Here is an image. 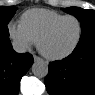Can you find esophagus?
Returning a JSON list of instances; mask_svg holds the SVG:
<instances>
[{"instance_id":"esophagus-1","label":"esophagus","mask_w":95,"mask_h":95,"mask_svg":"<svg viewBox=\"0 0 95 95\" xmlns=\"http://www.w3.org/2000/svg\"><path fill=\"white\" fill-rule=\"evenodd\" d=\"M34 62L42 61V59L36 55L33 56Z\"/></svg>"}]
</instances>
